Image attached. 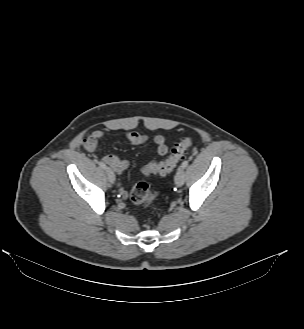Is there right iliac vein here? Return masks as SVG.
Wrapping results in <instances>:
<instances>
[{
	"instance_id": "right-iliac-vein-1",
	"label": "right iliac vein",
	"mask_w": 304,
	"mask_h": 329,
	"mask_svg": "<svg viewBox=\"0 0 304 329\" xmlns=\"http://www.w3.org/2000/svg\"><path fill=\"white\" fill-rule=\"evenodd\" d=\"M107 178L111 183L115 182V174L110 168H106Z\"/></svg>"
}]
</instances>
